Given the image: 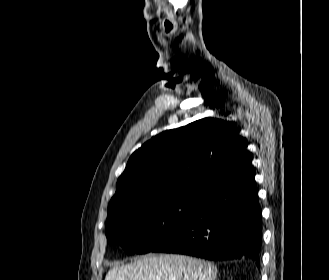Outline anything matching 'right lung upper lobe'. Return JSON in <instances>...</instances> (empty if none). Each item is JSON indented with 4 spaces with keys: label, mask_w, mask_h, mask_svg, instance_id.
<instances>
[{
    "label": "right lung upper lobe",
    "mask_w": 329,
    "mask_h": 280,
    "mask_svg": "<svg viewBox=\"0 0 329 280\" xmlns=\"http://www.w3.org/2000/svg\"><path fill=\"white\" fill-rule=\"evenodd\" d=\"M250 160L231 122L203 118L164 131L136 150L109 206L151 197H201L217 179Z\"/></svg>",
    "instance_id": "obj_1"
}]
</instances>
